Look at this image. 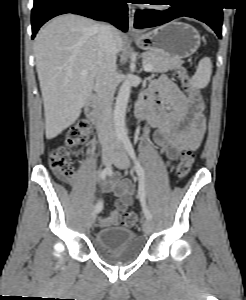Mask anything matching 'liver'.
<instances>
[{
  "label": "liver",
  "instance_id": "1",
  "mask_svg": "<svg viewBox=\"0 0 246 300\" xmlns=\"http://www.w3.org/2000/svg\"><path fill=\"white\" fill-rule=\"evenodd\" d=\"M98 28L91 19L65 14L53 19L35 38L47 139L75 123L92 93L98 67ZM113 37L118 53L123 48L120 31L113 28Z\"/></svg>",
  "mask_w": 246,
  "mask_h": 300
}]
</instances>
